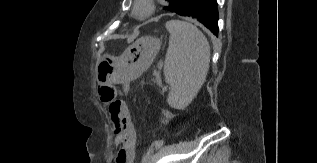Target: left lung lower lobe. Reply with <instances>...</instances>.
Listing matches in <instances>:
<instances>
[{"instance_id": "left-lung-lower-lobe-1", "label": "left lung lower lobe", "mask_w": 317, "mask_h": 163, "mask_svg": "<svg viewBox=\"0 0 317 163\" xmlns=\"http://www.w3.org/2000/svg\"><path fill=\"white\" fill-rule=\"evenodd\" d=\"M174 12L181 16L196 18L217 36L218 11L216 0H182Z\"/></svg>"}]
</instances>
